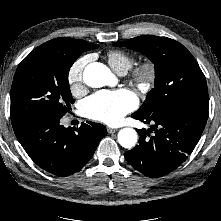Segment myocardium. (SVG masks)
<instances>
[{"instance_id": "1", "label": "myocardium", "mask_w": 221, "mask_h": 221, "mask_svg": "<svg viewBox=\"0 0 221 221\" xmlns=\"http://www.w3.org/2000/svg\"><path fill=\"white\" fill-rule=\"evenodd\" d=\"M132 82L143 91L149 90L155 83L157 77V68L155 63L146 59L139 62L131 71Z\"/></svg>"}]
</instances>
